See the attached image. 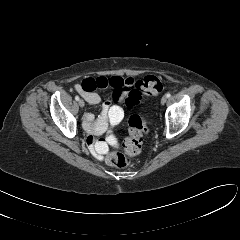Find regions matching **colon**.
Segmentation results:
<instances>
[{
  "instance_id": "colon-1",
  "label": "colon",
  "mask_w": 240,
  "mask_h": 240,
  "mask_svg": "<svg viewBox=\"0 0 240 240\" xmlns=\"http://www.w3.org/2000/svg\"><path fill=\"white\" fill-rule=\"evenodd\" d=\"M165 83L156 76L148 75L135 82L130 95L126 99V106L132 109L139 101L142 95H156L163 91ZM148 131L147 121L138 114H132L128 120V127L125 130H119L117 135L123 139L125 153L119 151L110 152L106 161L109 165L116 168H125L129 165L128 156H135L141 152L142 137Z\"/></svg>"
}]
</instances>
